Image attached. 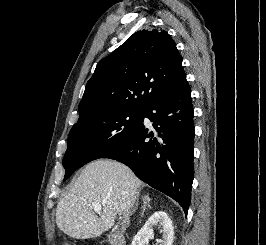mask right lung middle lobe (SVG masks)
<instances>
[{"instance_id":"right-lung-middle-lobe-1","label":"right lung middle lobe","mask_w":266,"mask_h":245,"mask_svg":"<svg viewBox=\"0 0 266 245\" xmlns=\"http://www.w3.org/2000/svg\"><path fill=\"white\" fill-rule=\"evenodd\" d=\"M144 112L145 109L115 107L81 117L68 136L64 181L86 163L126 144L136 133Z\"/></svg>"}]
</instances>
